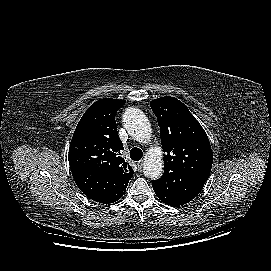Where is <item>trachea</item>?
<instances>
[{
	"instance_id": "obj_1",
	"label": "trachea",
	"mask_w": 271,
	"mask_h": 271,
	"mask_svg": "<svg viewBox=\"0 0 271 271\" xmlns=\"http://www.w3.org/2000/svg\"><path fill=\"white\" fill-rule=\"evenodd\" d=\"M143 157V152L141 149L134 147L130 151V158L134 161H139Z\"/></svg>"
}]
</instances>
